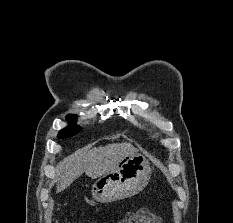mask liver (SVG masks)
Instances as JSON below:
<instances>
[{
	"mask_svg": "<svg viewBox=\"0 0 233 223\" xmlns=\"http://www.w3.org/2000/svg\"><path fill=\"white\" fill-rule=\"evenodd\" d=\"M136 147L131 143H108L104 147H81L71 155L59 161L55 169L56 193L69 187L77 177L86 173L88 177H101L110 169H114L115 163L121 161L125 155L135 153Z\"/></svg>",
	"mask_w": 233,
	"mask_h": 223,
	"instance_id": "obj_1",
	"label": "liver"
}]
</instances>
